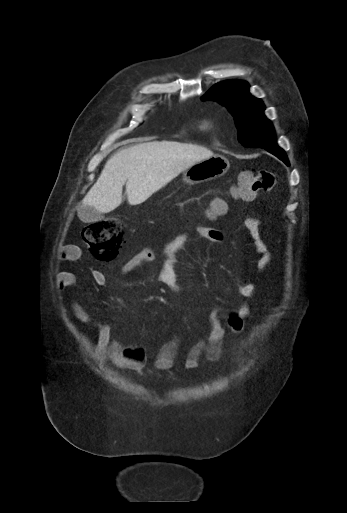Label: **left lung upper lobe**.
Instances as JSON below:
<instances>
[{
    "mask_svg": "<svg viewBox=\"0 0 347 513\" xmlns=\"http://www.w3.org/2000/svg\"><path fill=\"white\" fill-rule=\"evenodd\" d=\"M244 81H224L214 85L201 99L215 100L226 106L234 117L238 141L245 147H278L273 125L263 111V102L249 93Z\"/></svg>",
    "mask_w": 347,
    "mask_h": 513,
    "instance_id": "1",
    "label": "left lung upper lobe"
}]
</instances>
